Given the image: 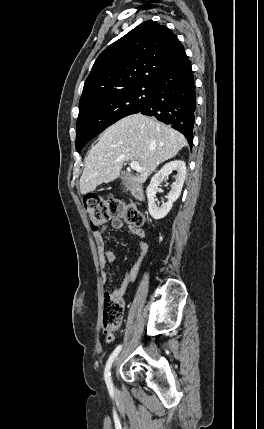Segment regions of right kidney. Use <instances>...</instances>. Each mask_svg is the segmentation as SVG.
<instances>
[{
    "label": "right kidney",
    "mask_w": 264,
    "mask_h": 429,
    "mask_svg": "<svg viewBox=\"0 0 264 429\" xmlns=\"http://www.w3.org/2000/svg\"><path fill=\"white\" fill-rule=\"evenodd\" d=\"M172 171H176V180L168 193V202H162L159 205L155 198L157 187L166 179ZM186 176V164L182 160H174L165 164L151 179L147 187L146 194L148 198V210L150 215L156 219L164 218L171 210L173 203L179 198Z\"/></svg>",
    "instance_id": "obj_1"
}]
</instances>
